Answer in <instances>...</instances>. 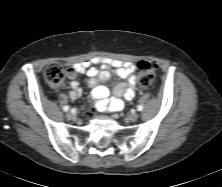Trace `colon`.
<instances>
[{
    "label": "colon",
    "instance_id": "obj_1",
    "mask_svg": "<svg viewBox=\"0 0 222 187\" xmlns=\"http://www.w3.org/2000/svg\"><path fill=\"white\" fill-rule=\"evenodd\" d=\"M138 86L141 90L148 89L152 86L157 65L148 60H142L138 63ZM46 81L55 88L62 87L65 82V71L60 64L52 63L45 70Z\"/></svg>",
    "mask_w": 222,
    "mask_h": 187
}]
</instances>
